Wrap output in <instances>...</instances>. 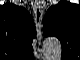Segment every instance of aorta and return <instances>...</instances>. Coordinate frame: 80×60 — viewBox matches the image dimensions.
Listing matches in <instances>:
<instances>
[{
    "label": "aorta",
    "mask_w": 80,
    "mask_h": 60,
    "mask_svg": "<svg viewBox=\"0 0 80 60\" xmlns=\"http://www.w3.org/2000/svg\"><path fill=\"white\" fill-rule=\"evenodd\" d=\"M44 49L48 52L61 53V43L55 37H49L44 41Z\"/></svg>",
    "instance_id": "1"
}]
</instances>
